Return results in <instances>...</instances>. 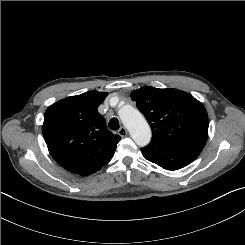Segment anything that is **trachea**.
<instances>
[{
  "instance_id": "3493384b",
  "label": "trachea",
  "mask_w": 245,
  "mask_h": 245,
  "mask_svg": "<svg viewBox=\"0 0 245 245\" xmlns=\"http://www.w3.org/2000/svg\"><path fill=\"white\" fill-rule=\"evenodd\" d=\"M120 127L119 125V121L117 118H112L110 121H109V128L112 129V130H118Z\"/></svg>"
}]
</instances>
